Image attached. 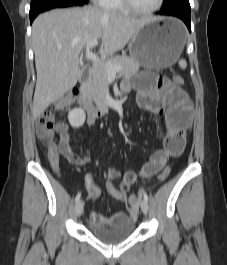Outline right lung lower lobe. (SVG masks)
<instances>
[{
  "label": "right lung lower lobe",
  "instance_id": "98d812e1",
  "mask_svg": "<svg viewBox=\"0 0 227 265\" xmlns=\"http://www.w3.org/2000/svg\"><path fill=\"white\" fill-rule=\"evenodd\" d=\"M87 2L82 1V0H64V1H58L53 3L52 5L48 6V8H46L43 11L46 10H50L52 8H61V7H70V6H76V5H84ZM41 11V12H43ZM40 13V12H39ZM39 13H34V14H29L30 16V22L32 23V21L34 20V18L39 14Z\"/></svg>",
  "mask_w": 227,
  "mask_h": 265
}]
</instances>
